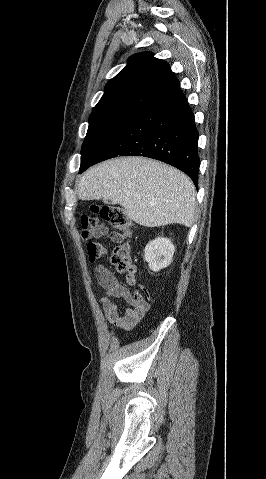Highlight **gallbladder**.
Returning <instances> with one entry per match:
<instances>
[{
    "label": "gallbladder",
    "mask_w": 266,
    "mask_h": 479,
    "mask_svg": "<svg viewBox=\"0 0 266 479\" xmlns=\"http://www.w3.org/2000/svg\"><path fill=\"white\" fill-rule=\"evenodd\" d=\"M103 202H104L105 204H116L115 201H113V200H111V199H109V198H104V199H103Z\"/></svg>",
    "instance_id": "bac80fb5"
}]
</instances>
